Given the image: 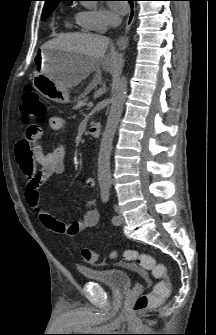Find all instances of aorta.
<instances>
[{
    "mask_svg": "<svg viewBox=\"0 0 216 335\" xmlns=\"http://www.w3.org/2000/svg\"><path fill=\"white\" fill-rule=\"evenodd\" d=\"M127 96V78L122 76L115 84L111 97V108L102 134L98 157V182L100 187L111 185L110 156L113 139L120 122Z\"/></svg>",
    "mask_w": 216,
    "mask_h": 335,
    "instance_id": "obj_1",
    "label": "aorta"
}]
</instances>
